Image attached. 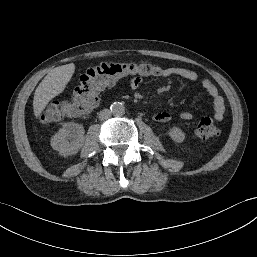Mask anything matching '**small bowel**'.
I'll return each instance as SVG.
<instances>
[{"mask_svg":"<svg viewBox=\"0 0 257 257\" xmlns=\"http://www.w3.org/2000/svg\"><path fill=\"white\" fill-rule=\"evenodd\" d=\"M160 75L162 77H177L191 82H197L199 80V75L197 72L184 67H167L160 72ZM140 83L141 81L139 78H132L130 80V86L132 88H138ZM201 86L212 100L214 117L217 120H221L225 112V103L223 97L220 95L218 89L210 80H202ZM151 117L153 120L160 123H167L171 120L170 113L166 111L153 113ZM180 118L184 121H190L194 118V113L190 110L183 111L180 114Z\"/></svg>","mask_w":257,"mask_h":257,"instance_id":"small-bowel-1","label":"small bowel"}]
</instances>
